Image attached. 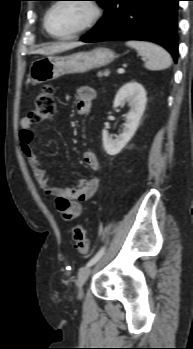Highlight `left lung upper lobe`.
I'll list each match as a JSON object with an SVG mask.
<instances>
[{
	"mask_svg": "<svg viewBox=\"0 0 193 349\" xmlns=\"http://www.w3.org/2000/svg\"><path fill=\"white\" fill-rule=\"evenodd\" d=\"M40 1H48V0H40ZM94 1L99 2L102 5V7L105 8L108 0H94Z\"/></svg>",
	"mask_w": 193,
	"mask_h": 349,
	"instance_id": "1",
	"label": "left lung upper lobe"
}]
</instances>
